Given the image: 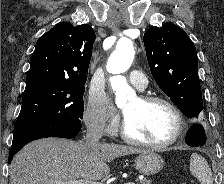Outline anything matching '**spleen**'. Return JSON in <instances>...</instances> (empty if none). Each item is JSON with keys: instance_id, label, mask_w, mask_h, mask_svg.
Segmentation results:
<instances>
[{"instance_id": "1", "label": "spleen", "mask_w": 224, "mask_h": 184, "mask_svg": "<svg viewBox=\"0 0 224 184\" xmlns=\"http://www.w3.org/2000/svg\"><path fill=\"white\" fill-rule=\"evenodd\" d=\"M190 172L198 179L200 184H212V172L206 160L194 153L190 158Z\"/></svg>"}]
</instances>
